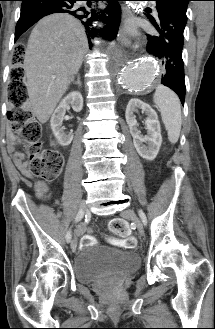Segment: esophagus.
<instances>
[{
	"mask_svg": "<svg viewBox=\"0 0 215 329\" xmlns=\"http://www.w3.org/2000/svg\"><path fill=\"white\" fill-rule=\"evenodd\" d=\"M133 14L131 12V10L124 6L122 8V21L123 24H125L128 20H130L132 18ZM118 42L124 46V47H130L131 46V39L130 37L125 33L123 26L121 27L119 33H118Z\"/></svg>",
	"mask_w": 215,
	"mask_h": 329,
	"instance_id": "34e87169",
	"label": "esophagus"
}]
</instances>
